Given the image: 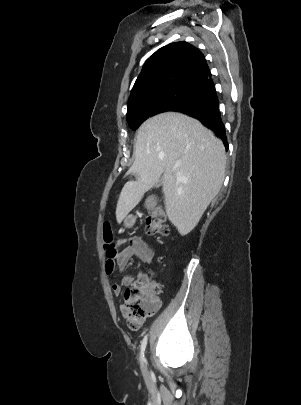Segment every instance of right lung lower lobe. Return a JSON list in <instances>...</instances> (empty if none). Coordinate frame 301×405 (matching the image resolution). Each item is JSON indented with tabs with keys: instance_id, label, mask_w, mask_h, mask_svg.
I'll use <instances>...</instances> for the list:
<instances>
[{
	"instance_id": "obj_1",
	"label": "right lung lower lobe",
	"mask_w": 301,
	"mask_h": 405,
	"mask_svg": "<svg viewBox=\"0 0 301 405\" xmlns=\"http://www.w3.org/2000/svg\"><path fill=\"white\" fill-rule=\"evenodd\" d=\"M177 112L198 119L205 127L212 130L216 136L221 138L226 149H228L226 129L221 119L219 103L216 95L206 104L182 108Z\"/></svg>"
}]
</instances>
